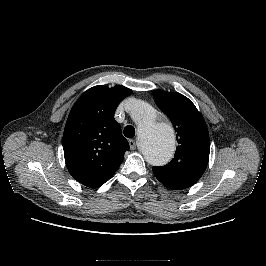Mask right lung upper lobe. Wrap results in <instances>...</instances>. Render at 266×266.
Listing matches in <instances>:
<instances>
[{
  "label": "right lung upper lobe",
  "mask_w": 266,
  "mask_h": 266,
  "mask_svg": "<svg viewBox=\"0 0 266 266\" xmlns=\"http://www.w3.org/2000/svg\"><path fill=\"white\" fill-rule=\"evenodd\" d=\"M131 93L121 85H99L84 92L73 105L64 129L63 150L68 171L79 183L98 188L121 165L130 147L114 113Z\"/></svg>",
  "instance_id": "right-lung-upper-lobe-1"
}]
</instances>
